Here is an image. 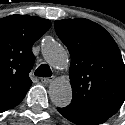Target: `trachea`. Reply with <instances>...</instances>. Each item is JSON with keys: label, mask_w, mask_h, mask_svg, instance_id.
Here are the masks:
<instances>
[{"label": "trachea", "mask_w": 125, "mask_h": 125, "mask_svg": "<svg viewBox=\"0 0 125 125\" xmlns=\"http://www.w3.org/2000/svg\"><path fill=\"white\" fill-rule=\"evenodd\" d=\"M34 75L39 77H51L52 71L47 64H41L35 71Z\"/></svg>", "instance_id": "obj_1"}]
</instances>
